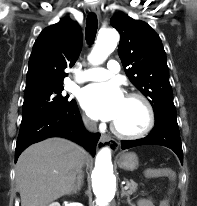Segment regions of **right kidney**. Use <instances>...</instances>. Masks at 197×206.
Here are the masks:
<instances>
[{"mask_svg": "<svg viewBox=\"0 0 197 206\" xmlns=\"http://www.w3.org/2000/svg\"><path fill=\"white\" fill-rule=\"evenodd\" d=\"M49 206H60L58 202L51 203Z\"/></svg>", "mask_w": 197, "mask_h": 206, "instance_id": "1", "label": "right kidney"}]
</instances>
